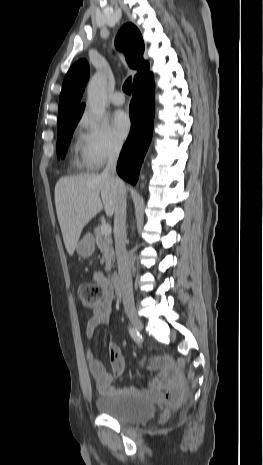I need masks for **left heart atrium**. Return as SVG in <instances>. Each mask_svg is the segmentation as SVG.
<instances>
[{
    "label": "left heart atrium",
    "mask_w": 263,
    "mask_h": 465,
    "mask_svg": "<svg viewBox=\"0 0 263 465\" xmlns=\"http://www.w3.org/2000/svg\"><path fill=\"white\" fill-rule=\"evenodd\" d=\"M112 123L119 137L125 138L129 134L131 129V121L126 112L121 110L115 112Z\"/></svg>",
    "instance_id": "1"
}]
</instances>
